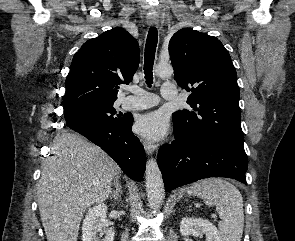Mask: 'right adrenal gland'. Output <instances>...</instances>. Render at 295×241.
Segmentation results:
<instances>
[{"instance_id": "right-adrenal-gland-1", "label": "right adrenal gland", "mask_w": 295, "mask_h": 241, "mask_svg": "<svg viewBox=\"0 0 295 241\" xmlns=\"http://www.w3.org/2000/svg\"><path fill=\"white\" fill-rule=\"evenodd\" d=\"M120 176L116 175L114 178V186H115V190H113L111 192V198H114L115 201L118 200V198L120 197V194L123 193L122 191V186L120 183Z\"/></svg>"}]
</instances>
